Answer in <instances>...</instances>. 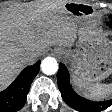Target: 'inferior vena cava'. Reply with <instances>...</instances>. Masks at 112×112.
Segmentation results:
<instances>
[{
	"label": "inferior vena cava",
	"mask_w": 112,
	"mask_h": 112,
	"mask_svg": "<svg viewBox=\"0 0 112 112\" xmlns=\"http://www.w3.org/2000/svg\"><path fill=\"white\" fill-rule=\"evenodd\" d=\"M37 55L35 53H25L22 55V60L25 63H32Z\"/></svg>",
	"instance_id": "602c4592"
}]
</instances>
